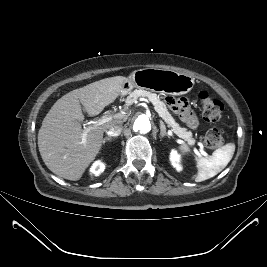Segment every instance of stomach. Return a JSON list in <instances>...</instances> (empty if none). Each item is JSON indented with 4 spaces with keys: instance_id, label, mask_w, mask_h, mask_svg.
<instances>
[{
    "instance_id": "1",
    "label": "stomach",
    "mask_w": 267,
    "mask_h": 267,
    "mask_svg": "<svg viewBox=\"0 0 267 267\" xmlns=\"http://www.w3.org/2000/svg\"><path fill=\"white\" fill-rule=\"evenodd\" d=\"M194 78L168 69L144 68L134 71L124 83L121 96L134 88L151 90L161 94L183 95L191 91Z\"/></svg>"
}]
</instances>
